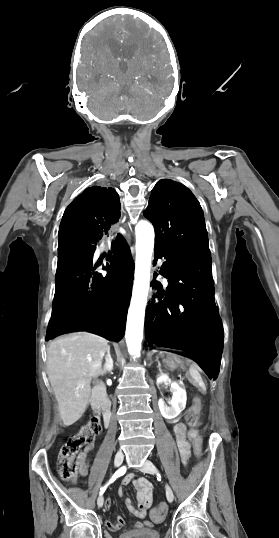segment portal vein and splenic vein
I'll return each instance as SVG.
<instances>
[{"instance_id": "obj_1", "label": "portal vein and splenic vein", "mask_w": 279, "mask_h": 538, "mask_svg": "<svg viewBox=\"0 0 279 538\" xmlns=\"http://www.w3.org/2000/svg\"><path fill=\"white\" fill-rule=\"evenodd\" d=\"M179 379H186V376H179ZM180 383H183V380H180Z\"/></svg>"}]
</instances>
